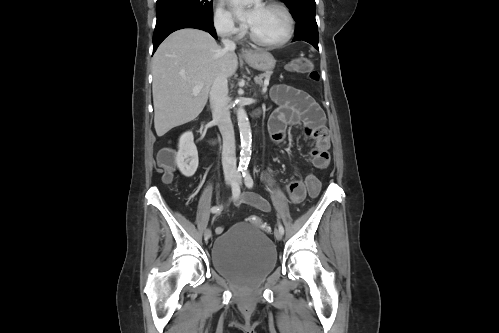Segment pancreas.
<instances>
[{
	"label": "pancreas",
	"mask_w": 499,
	"mask_h": 333,
	"mask_svg": "<svg viewBox=\"0 0 499 333\" xmlns=\"http://www.w3.org/2000/svg\"><path fill=\"white\" fill-rule=\"evenodd\" d=\"M272 75V71H267L263 74H260L259 76L255 77V80L258 84H262L263 83V79L265 80H270V77Z\"/></svg>",
	"instance_id": "obj_1"
}]
</instances>
